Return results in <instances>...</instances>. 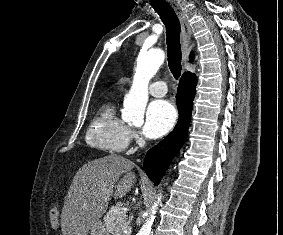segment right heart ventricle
<instances>
[{"label": "right heart ventricle", "mask_w": 283, "mask_h": 235, "mask_svg": "<svg viewBox=\"0 0 283 235\" xmlns=\"http://www.w3.org/2000/svg\"><path fill=\"white\" fill-rule=\"evenodd\" d=\"M129 128L118 116L115 101L103 104L94 116L86 134L89 146L106 153H121L129 142Z\"/></svg>", "instance_id": "1"}]
</instances>
